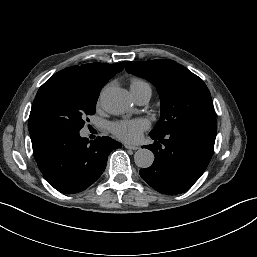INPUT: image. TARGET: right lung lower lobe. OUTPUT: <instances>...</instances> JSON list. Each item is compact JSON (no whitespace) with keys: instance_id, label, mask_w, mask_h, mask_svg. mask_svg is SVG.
I'll list each match as a JSON object with an SVG mask.
<instances>
[{"instance_id":"right-lung-lower-lobe-1","label":"right lung lower lobe","mask_w":257,"mask_h":257,"mask_svg":"<svg viewBox=\"0 0 257 257\" xmlns=\"http://www.w3.org/2000/svg\"><path fill=\"white\" fill-rule=\"evenodd\" d=\"M34 158L46 181L56 190L71 194L93 184L103 173L107 157L121 143L103 136L89 141L79 132L33 130Z\"/></svg>"}]
</instances>
